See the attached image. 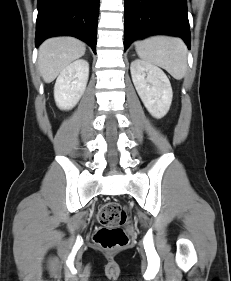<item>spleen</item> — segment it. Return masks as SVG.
Returning a JSON list of instances; mask_svg holds the SVG:
<instances>
[{
    "label": "spleen",
    "mask_w": 231,
    "mask_h": 281,
    "mask_svg": "<svg viewBox=\"0 0 231 281\" xmlns=\"http://www.w3.org/2000/svg\"><path fill=\"white\" fill-rule=\"evenodd\" d=\"M138 56L165 69L177 80L182 79L187 70V47L180 38L155 36L135 43Z\"/></svg>",
    "instance_id": "1"
}]
</instances>
